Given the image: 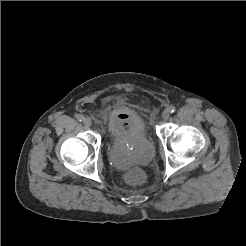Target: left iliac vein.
Wrapping results in <instances>:
<instances>
[{
	"instance_id": "1",
	"label": "left iliac vein",
	"mask_w": 246,
	"mask_h": 246,
	"mask_svg": "<svg viewBox=\"0 0 246 246\" xmlns=\"http://www.w3.org/2000/svg\"><path fill=\"white\" fill-rule=\"evenodd\" d=\"M170 114H169V111L168 110H164L162 112V119L163 120H167L169 118Z\"/></svg>"
}]
</instances>
